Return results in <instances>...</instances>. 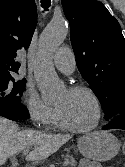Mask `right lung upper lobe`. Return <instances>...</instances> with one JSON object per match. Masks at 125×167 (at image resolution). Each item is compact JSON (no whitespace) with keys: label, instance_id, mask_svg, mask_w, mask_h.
Masks as SVG:
<instances>
[{"label":"right lung upper lobe","instance_id":"right-lung-upper-lobe-1","mask_svg":"<svg viewBox=\"0 0 125 167\" xmlns=\"http://www.w3.org/2000/svg\"><path fill=\"white\" fill-rule=\"evenodd\" d=\"M37 24L34 0H0V76L18 73V50L28 49Z\"/></svg>","mask_w":125,"mask_h":167}]
</instances>
